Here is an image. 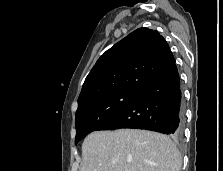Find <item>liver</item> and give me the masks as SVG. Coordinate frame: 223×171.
Listing matches in <instances>:
<instances>
[{
	"instance_id": "6515ba94",
	"label": "liver",
	"mask_w": 223,
	"mask_h": 171,
	"mask_svg": "<svg viewBox=\"0 0 223 171\" xmlns=\"http://www.w3.org/2000/svg\"><path fill=\"white\" fill-rule=\"evenodd\" d=\"M181 165L172 140L147 130L95 131L82 144L80 171H180Z\"/></svg>"
}]
</instances>
